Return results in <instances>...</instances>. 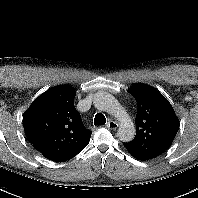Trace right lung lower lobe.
<instances>
[{
  "label": "right lung lower lobe",
  "instance_id": "right-lung-lower-lobe-1",
  "mask_svg": "<svg viewBox=\"0 0 198 198\" xmlns=\"http://www.w3.org/2000/svg\"><path fill=\"white\" fill-rule=\"evenodd\" d=\"M87 146V145H86ZM86 146L75 149L73 151L61 153V154H56V155H44L47 159L55 161V162H63L66 160L71 159L75 155H77L80 151H82Z\"/></svg>",
  "mask_w": 198,
  "mask_h": 198
}]
</instances>
